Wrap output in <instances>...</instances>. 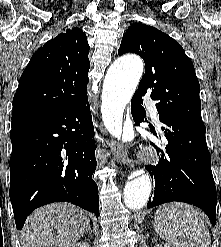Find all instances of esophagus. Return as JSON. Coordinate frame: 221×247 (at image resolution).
<instances>
[{
	"label": "esophagus",
	"instance_id": "esophagus-1",
	"mask_svg": "<svg viewBox=\"0 0 221 247\" xmlns=\"http://www.w3.org/2000/svg\"><path fill=\"white\" fill-rule=\"evenodd\" d=\"M110 147L115 154L117 161L122 164H128L130 167H133V164L127 159L126 151L124 149L123 144L120 142H115L113 140L110 141Z\"/></svg>",
	"mask_w": 221,
	"mask_h": 247
}]
</instances>
